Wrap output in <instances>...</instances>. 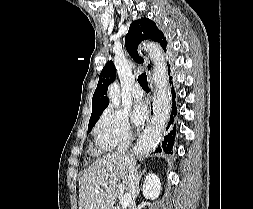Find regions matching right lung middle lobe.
Segmentation results:
<instances>
[{
    "label": "right lung middle lobe",
    "mask_w": 253,
    "mask_h": 209,
    "mask_svg": "<svg viewBox=\"0 0 253 209\" xmlns=\"http://www.w3.org/2000/svg\"><path fill=\"white\" fill-rule=\"evenodd\" d=\"M99 118H95V119H91L89 121V125H88V133L91 131V129L93 128V126L96 124V122L98 121Z\"/></svg>",
    "instance_id": "1"
}]
</instances>
